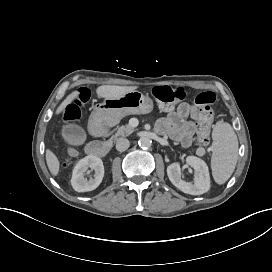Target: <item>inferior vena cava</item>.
I'll return each instance as SVG.
<instances>
[{"label":"inferior vena cava","mask_w":272,"mask_h":272,"mask_svg":"<svg viewBox=\"0 0 272 272\" xmlns=\"http://www.w3.org/2000/svg\"><path fill=\"white\" fill-rule=\"evenodd\" d=\"M130 143L129 140L126 138H120L116 143V149L118 151H125L129 148Z\"/></svg>","instance_id":"1"}]
</instances>
